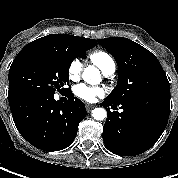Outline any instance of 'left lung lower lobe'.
I'll use <instances>...</instances> for the list:
<instances>
[{"instance_id": "left-lung-lower-lobe-1", "label": "left lung lower lobe", "mask_w": 178, "mask_h": 178, "mask_svg": "<svg viewBox=\"0 0 178 178\" xmlns=\"http://www.w3.org/2000/svg\"><path fill=\"white\" fill-rule=\"evenodd\" d=\"M103 106L118 104L104 100ZM123 112H111L103 127L106 147L114 154L135 156L151 148L162 135L170 112L141 103L120 104Z\"/></svg>"}]
</instances>
